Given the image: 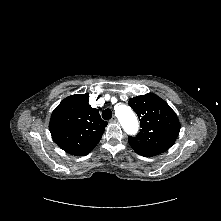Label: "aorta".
I'll use <instances>...</instances> for the list:
<instances>
[{"label": "aorta", "mask_w": 221, "mask_h": 221, "mask_svg": "<svg viewBox=\"0 0 221 221\" xmlns=\"http://www.w3.org/2000/svg\"><path fill=\"white\" fill-rule=\"evenodd\" d=\"M115 113L121 123V126L127 133L133 134L138 129V121L131 110V108L125 104H119L115 107Z\"/></svg>", "instance_id": "aorta-1"}]
</instances>
